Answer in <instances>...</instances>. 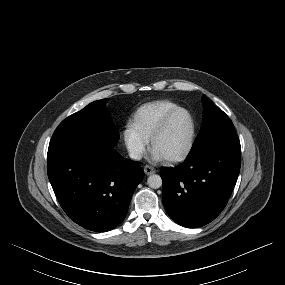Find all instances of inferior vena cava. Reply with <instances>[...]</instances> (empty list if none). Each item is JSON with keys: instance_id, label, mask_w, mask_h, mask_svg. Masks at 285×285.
I'll list each match as a JSON object with an SVG mask.
<instances>
[{"instance_id": "602c4592", "label": "inferior vena cava", "mask_w": 285, "mask_h": 285, "mask_svg": "<svg viewBox=\"0 0 285 285\" xmlns=\"http://www.w3.org/2000/svg\"><path fill=\"white\" fill-rule=\"evenodd\" d=\"M130 158L134 159V160H140L142 158V154L138 151H131L129 153Z\"/></svg>"}]
</instances>
